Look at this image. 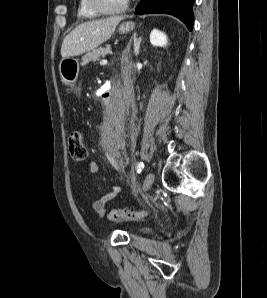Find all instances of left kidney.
Instances as JSON below:
<instances>
[{"label":"left kidney","mask_w":267,"mask_h":298,"mask_svg":"<svg viewBox=\"0 0 267 298\" xmlns=\"http://www.w3.org/2000/svg\"><path fill=\"white\" fill-rule=\"evenodd\" d=\"M150 43L153 46L166 47L168 45V38L164 32L153 29L150 34Z\"/></svg>","instance_id":"1"}]
</instances>
